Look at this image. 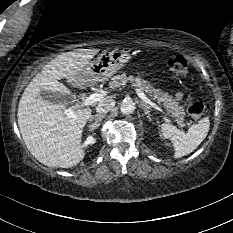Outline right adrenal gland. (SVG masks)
Segmentation results:
<instances>
[{"instance_id": "1", "label": "right adrenal gland", "mask_w": 233, "mask_h": 233, "mask_svg": "<svg viewBox=\"0 0 233 233\" xmlns=\"http://www.w3.org/2000/svg\"><path fill=\"white\" fill-rule=\"evenodd\" d=\"M104 117H105L104 114L92 115L91 118L89 119V123H91L93 120H95V122L89 124L88 126H89L90 128H92V129H96V128L99 126L101 120H102Z\"/></svg>"}]
</instances>
